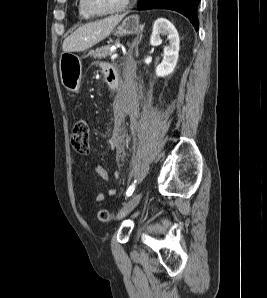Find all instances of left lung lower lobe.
I'll use <instances>...</instances> for the list:
<instances>
[{
	"label": "left lung lower lobe",
	"instance_id": "obj_1",
	"mask_svg": "<svg viewBox=\"0 0 267 298\" xmlns=\"http://www.w3.org/2000/svg\"><path fill=\"white\" fill-rule=\"evenodd\" d=\"M200 0H139L138 10L169 9L186 16L198 30L197 7Z\"/></svg>",
	"mask_w": 267,
	"mask_h": 298
}]
</instances>
